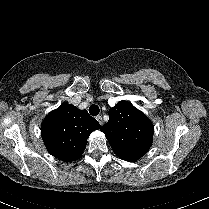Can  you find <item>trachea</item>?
I'll use <instances>...</instances> for the list:
<instances>
[{
  "label": "trachea",
  "mask_w": 209,
  "mask_h": 209,
  "mask_svg": "<svg viewBox=\"0 0 209 209\" xmlns=\"http://www.w3.org/2000/svg\"><path fill=\"white\" fill-rule=\"evenodd\" d=\"M100 112V109L97 105H91L90 108H89V113L92 115V116H97Z\"/></svg>",
  "instance_id": "1"
}]
</instances>
